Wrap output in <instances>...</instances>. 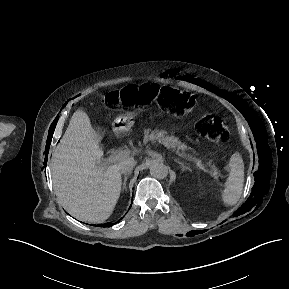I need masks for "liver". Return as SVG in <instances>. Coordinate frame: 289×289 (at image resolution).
<instances>
[{"instance_id": "6515ba94", "label": "liver", "mask_w": 289, "mask_h": 289, "mask_svg": "<svg viewBox=\"0 0 289 289\" xmlns=\"http://www.w3.org/2000/svg\"><path fill=\"white\" fill-rule=\"evenodd\" d=\"M102 136L88 115L77 110L52 155L53 188L58 203L74 218L102 223L110 217L121 192L118 164L102 162Z\"/></svg>"}]
</instances>
